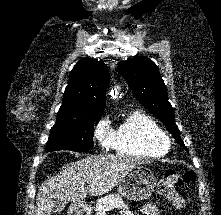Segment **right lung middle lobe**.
<instances>
[{
    "mask_svg": "<svg viewBox=\"0 0 221 215\" xmlns=\"http://www.w3.org/2000/svg\"><path fill=\"white\" fill-rule=\"evenodd\" d=\"M101 116L76 112L57 113L46 152L56 150L82 152L91 149L94 146V125L98 124Z\"/></svg>",
    "mask_w": 221,
    "mask_h": 215,
    "instance_id": "right-lung-middle-lobe-1",
    "label": "right lung middle lobe"
}]
</instances>
